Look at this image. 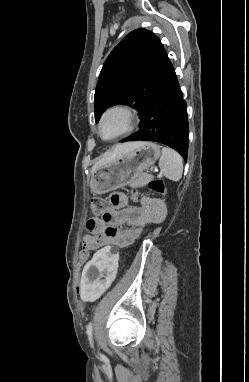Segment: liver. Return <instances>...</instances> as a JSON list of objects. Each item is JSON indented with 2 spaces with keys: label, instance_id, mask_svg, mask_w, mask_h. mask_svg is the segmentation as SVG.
<instances>
[{
  "label": "liver",
  "instance_id": "liver-1",
  "mask_svg": "<svg viewBox=\"0 0 249 382\" xmlns=\"http://www.w3.org/2000/svg\"><path fill=\"white\" fill-rule=\"evenodd\" d=\"M141 142H133V143H123L116 145L112 151L105 153L92 167V173L103 166H106L113 162L117 157L122 154L127 153L132 150L136 146L140 145Z\"/></svg>",
  "mask_w": 249,
  "mask_h": 382
}]
</instances>
